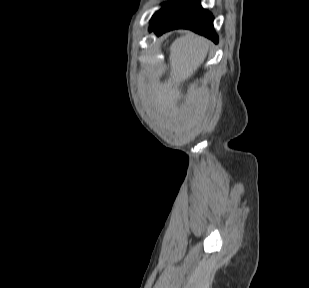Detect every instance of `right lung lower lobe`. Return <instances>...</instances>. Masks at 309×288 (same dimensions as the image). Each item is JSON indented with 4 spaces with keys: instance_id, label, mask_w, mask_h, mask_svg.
Instances as JSON below:
<instances>
[{
    "instance_id": "right-lung-lower-lobe-1",
    "label": "right lung lower lobe",
    "mask_w": 309,
    "mask_h": 288,
    "mask_svg": "<svg viewBox=\"0 0 309 288\" xmlns=\"http://www.w3.org/2000/svg\"><path fill=\"white\" fill-rule=\"evenodd\" d=\"M190 29L218 42L213 27V16L200 5L199 0H184L175 10L166 14L160 21L149 27L157 35L173 29Z\"/></svg>"
}]
</instances>
